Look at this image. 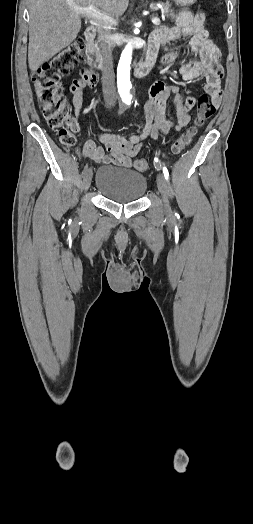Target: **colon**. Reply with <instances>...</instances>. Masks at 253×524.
Instances as JSON below:
<instances>
[{
	"label": "colon",
	"mask_w": 253,
	"mask_h": 524,
	"mask_svg": "<svg viewBox=\"0 0 253 524\" xmlns=\"http://www.w3.org/2000/svg\"><path fill=\"white\" fill-rule=\"evenodd\" d=\"M86 40L78 37L63 48L57 55L45 62L32 74L33 89L48 126L57 132L60 143L71 147L76 143V136L67 124L68 104L60 79L80 65ZM100 82L96 72L80 70V75L68 81V91L77 97L85 95ZM215 109L206 94L197 101V114L193 124L186 129L172 144L171 152L180 154L192 141L207 120L213 117ZM149 165L145 159H138L135 168L146 171Z\"/></svg>",
	"instance_id": "colon-1"
}]
</instances>
